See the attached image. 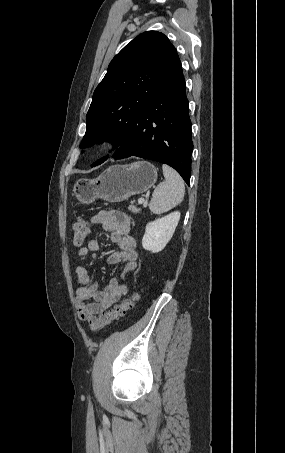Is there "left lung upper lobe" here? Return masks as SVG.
I'll use <instances>...</instances> for the list:
<instances>
[{
	"label": "left lung upper lobe",
	"instance_id": "left-lung-upper-lobe-1",
	"mask_svg": "<svg viewBox=\"0 0 285 453\" xmlns=\"http://www.w3.org/2000/svg\"><path fill=\"white\" fill-rule=\"evenodd\" d=\"M176 55L169 39L157 31L144 32L126 45L113 58L94 91L80 148L104 140L113 143L114 148L120 146ZM107 158L99 159L92 166Z\"/></svg>",
	"mask_w": 285,
	"mask_h": 453
}]
</instances>
